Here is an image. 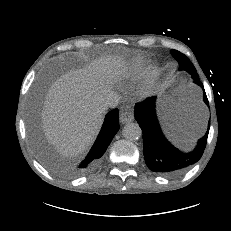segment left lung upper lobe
I'll return each mask as SVG.
<instances>
[{"instance_id":"left-lung-upper-lobe-1","label":"left lung upper lobe","mask_w":231,"mask_h":231,"mask_svg":"<svg viewBox=\"0 0 231 231\" xmlns=\"http://www.w3.org/2000/svg\"><path fill=\"white\" fill-rule=\"evenodd\" d=\"M171 53L173 57L179 63V70H185L192 75L193 79H199L194 65L190 62V60L184 54H182L181 52L177 50H173V49L171 50Z\"/></svg>"}]
</instances>
